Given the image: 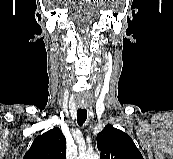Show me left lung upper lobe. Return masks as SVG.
<instances>
[{"mask_svg":"<svg viewBox=\"0 0 173 159\" xmlns=\"http://www.w3.org/2000/svg\"><path fill=\"white\" fill-rule=\"evenodd\" d=\"M97 148L101 159H143L132 138L110 124L97 134Z\"/></svg>","mask_w":173,"mask_h":159,"instance_id":"1","label":"left lung upper lobe"}]
</instances>
